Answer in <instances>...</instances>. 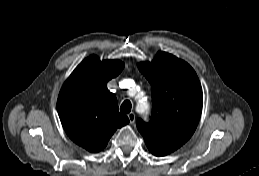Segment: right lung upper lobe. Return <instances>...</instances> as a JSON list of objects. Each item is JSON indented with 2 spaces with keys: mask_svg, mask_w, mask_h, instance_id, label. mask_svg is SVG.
I'll list each match as a JSON object with an SVG mask.
<instances>
[{
  "mask_svg": "<svg viewBox=\"0 0 259 176\" xmlns=\"http://www.w3.org/2000/svg\"><path fill=\"white\" fill-rule=\"evenodd\" d=\"M123 68L119 60L100 61L92 55L76 67L59 93L57 110L65 132L90 152L101 151L116 129L129 123L106 87Z\"/></svg>",
  "mask_w": 259,
  "mask_h": 176,
  "instance_id": "right-lung-upper-lobe-1",
  "label": "right lung upper lobe"
}]
</instances>
